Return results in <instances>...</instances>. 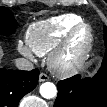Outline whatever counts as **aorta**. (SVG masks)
Wrapping results in <instances>:
<instances>
[{
    "label": "aorta",
    "instance_id": "aorta-1",
    "mask_svg": "<svg viewBox=\"0 0 107 107\" xmlns=\"http://www.w3.org/2000/svg\"><path fill=\"white\" fill-rule=\"evenodd\" d=\"M40 94L46 99L53 98L57 95L56 86L51 82H45L40 86Z\"/></svg>",
    "mask_w": 107,
    "mask_h": 107
}]
</instances>
